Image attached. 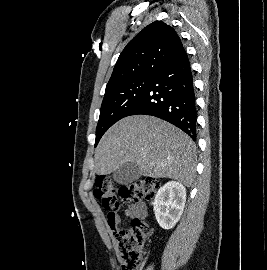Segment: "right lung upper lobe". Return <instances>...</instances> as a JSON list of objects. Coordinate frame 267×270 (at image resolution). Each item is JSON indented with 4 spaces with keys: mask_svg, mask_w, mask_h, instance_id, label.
<instances>
[{
    "mask_svg": "<svg viewBox=\"0 0 267 270\" xmlns=\"http://www.w3.org/2000/svg\"><path fill=\"white\" fill-rule=\"evenodd\" d=\"M182 47L171 26L162 21L149 24L120 54L106 90L137 77L154 76Z\"/></svg>",
    "mask_w": 267,
    "mask_h": 270,
    "instance_id": "right-lung-upper-lobe-1",
    "label": "right lung upper lobe"
}]
</instances>
